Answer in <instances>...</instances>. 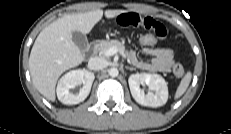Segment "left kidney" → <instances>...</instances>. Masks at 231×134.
Segmentation results:
<instances>
[{
  "label": "left kidney",
  "instance_id": "1",
  "mask_svg": "<svg viewBox=\"0 0 231 134\" xmlns=\"http://www.w3.org/2000/svg\"><path fill=\"white\" fill-rule=\"evenodd\" d=\"M130 91L135 101L143 106L159 107L168 100V87L164 78L158 74L136 73L128 79ZM148 86L145 94L141 86Z\"/></svg>",
  "mask_w": 231,
  "mask_h": 134
}]
</instances>
